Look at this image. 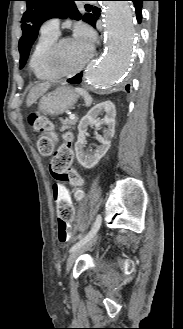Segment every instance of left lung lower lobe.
<instances>
[{
    "label": "left lung lower lobe",
    "mask_w": 183,
    "mask_h": 329,
    "mask_svg": "<svg viewBox=\"0 0 183 329\" xmlns=\"http://www.w3.org/2000/svg\"><path fill=\"white\" fill-rule=\"evenodd\" d=\"M134 3V7H135V12H136V18L137 21L140 23L142 20V2L145 0H130ZM97 16V15H95ZM97 17H95L94 23L92 26H95ZM82 81V72H80L79 74L75 75L74 77L70 78L67 80V82L71 83V84H79ZM130 85L127 84L126 85V90L129 91Z\"/></svg>",
    "instance_id": "obj_1"
}]
</instances>
